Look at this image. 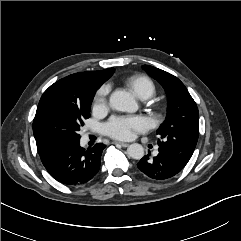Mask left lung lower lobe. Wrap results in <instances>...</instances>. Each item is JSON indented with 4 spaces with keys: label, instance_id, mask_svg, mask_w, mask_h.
Here are the masks:
<instances>
[{
    "label": "left lung lower lobe",
    "instance_id": "1",
    "mask_svg": "<svg viewBox=\"0 0 241 241\" xmlns=\"http://www.w3.org/2000/svg\"><path fill=\"white\" fill-rule=\"evenodd\" d=\"M140 171L154 180H165L177 175L185 165L164 150L153 158L145 155L137 164Z\"/></svg>",
    "mask_w": 241,
    "mask_h": 241
}]
</instances>
